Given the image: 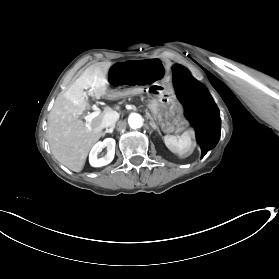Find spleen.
<instances>
[{"label": "spleen", "mask_w": 279, "mask_h": 279, "mask_svg": "<svg viewBox=\"0 0 279 279\" xmlns=\"http://www.w3.org/2000/svg\"><path fill=\"white\" fill-rule=\"evenodd\" d=\"M192 136H193L192 132L187 130L183 132L182 135L179 137H175L172 135H165L163 139L166 147L170 151L178 154H184L192 150L191 147Z\"/></svg>", "instance_id": "obj_1"}]
</instances>
